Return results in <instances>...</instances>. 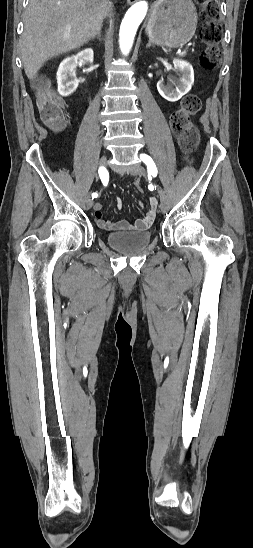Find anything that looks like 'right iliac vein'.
Here are the masks:
<instances>
[{"label": "right iliac vein", "instance_id": "63e3f726", "mask_svg": "<svg viewBox=\"0 0 253 548\" xmlns=\"http://www.w3.org/2000/svg\"><path fill=\"white\" fill-rule=\"evenodd\" d=\"M106 163H107V156H106V155H103V156L101 157L100 161H99V165H100L101 167H103V166L106 165ZM92 205H93V200H92V198H91V195H89V196L87 197V200H86V206H87L88 209H90V208L92 207Z\"/></svg>", "mask_w": 253, "mask_h": 548}]
</instances>
